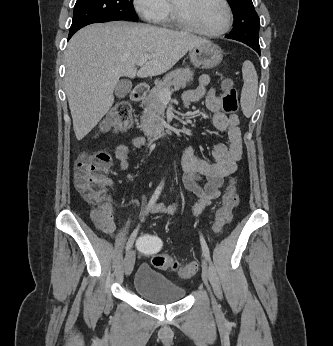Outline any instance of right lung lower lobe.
Returning <instances> with one entry per match:
<instances>
[{
  "mask_svg": "<svg viewBox=\"0 0 333 346\" xmlns=\"http://www.w3.org/2000/svg\"><path fill=\"white\" fill-rule=\"evenodd\" d=\"M74 33H69L68 40L73 36Z\"/></svg>",
  "mask_w": 333,
  "mask_h": 346,
  "instance_id": "1",
  "label": "right lung lower lobe"
}]
</instances>
